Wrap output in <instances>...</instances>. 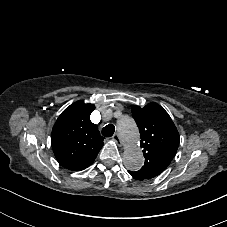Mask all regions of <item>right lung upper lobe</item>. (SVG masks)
<instances>
[{
  "label": "right lung upper lobe",
  "mask_w": 227,
  "mask_h": 227,
  "mask_svg": "<svg viewBox=\"0 0 227 227\" xmlns=\"http://www.w3.org/2000/svg\"><path fill=\"white\" fill-rule=\"evenodd\" d=\"M93 104L77 101L58 117L51 133V145L59 164L80 171L89 167L103 146L96 124L90 120Z\"/></svg>",
  "instance_id": "right-lung-upper-lobe-1"
}]
</instances>
